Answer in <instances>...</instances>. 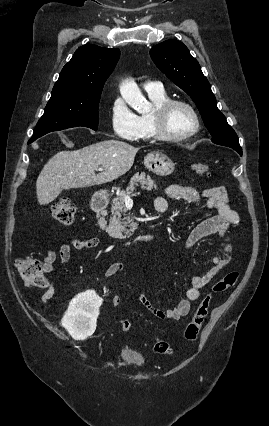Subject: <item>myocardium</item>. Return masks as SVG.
I'll use <instances>...</instances> for the list:
<instances>
[{
    "instance_id": "obj_1",
    "label": "myocardium",
    "mask_w": 269,
    "mask_h": 426,
    "mask_svg": "<svg viewBox=\"0 0 269 426\" xmlns=\"http://www.w3.org/2000/svg\"><path fill=\"white\" fill-rule=\"evenodd\" d=\"M176 106L186 107L192 113L195 120L193 129L180 135L170 133L167 128L169 114ZM150 125L154 138L162 141L177 142L189 139L196 135L201 128V119L196 108L189 102L181 99H169L152 110L150 114Z\"/></svg>"
}]
</instances>
